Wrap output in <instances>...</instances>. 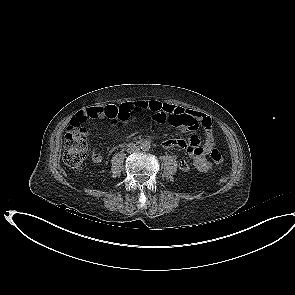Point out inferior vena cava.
Returning a JSON list of instances; mask_svg holds the SVG:
<instances>
[{"mask_svg": "<svg viewBox=\"0 0 295 295\" xmlns=\"http://www.w3.org/2000/svg\"><path fill=\"white\" fill-rule=\"evenodd\" d=\"M139 150L138 146H131L127 149L128 153H133V152H137Z\"/></svg>", "mask_w": 295, "mask_h": 295, "instance_id": "602c4592", "label": "inferior vena cava"}]
</instances>
